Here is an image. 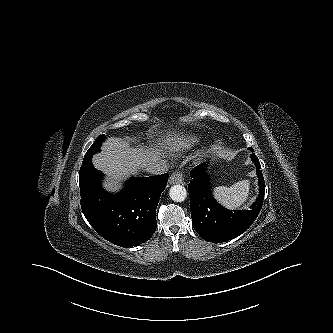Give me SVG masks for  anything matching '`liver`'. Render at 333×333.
<instances>
[{
    "mask_svg": "<svg viewBox=\"0 0 333 333\" xmlns=\"http://www.w3.org/2000/svg\"><path fill=\"white\" fill-rule=\"evenodd\" d=\"M164 139L166 145L170 146L172 141L180 138L176 134L172 136L168 133ZM161 154V150L154 147L132 148L125 139L110 137L103 143L102 152L93 156L92 162L95 168L107 175L104 188L110 192H117L120 189L119 181L136 174L151 161H160Z\"/></svg>",
    "mask_w": 333,
    "mask_h": 333,
    "instance_id": "obj_1",
    "label": "liver"
}]
</instances>
